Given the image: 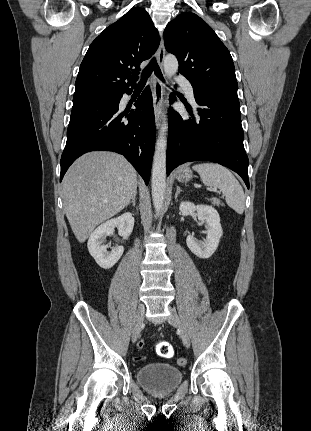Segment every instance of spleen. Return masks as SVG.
Here are the masks:
<instances>
[{
    "instance_id": "1",
    "label": "spleen",
    "mask_w": 311,
    "mask_h": 431,
    "mask_svg": "<svg viewBox=\"0 0 311 431\" xmlns=\"http://www.w3.org/2000/svg\"><path fill=\"white\" fill-rule=\"evenodd\" d=\"M192 170L199 174L201 182L205 186L219 188L220 192L224 194L229 208L235 210L237 214H243L245 210L243 188L227 168H223L219 164H196V166H192Z\"/></svg>"
}]
</instances>
